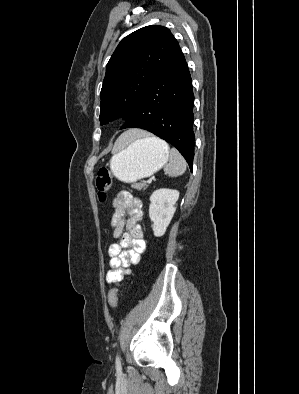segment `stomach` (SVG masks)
Masks as SVG:
<instances>
[{"mask_svg":"<svg viewBox=\"0 0 299 394\" xmlns=\"http://www.w3.org/2000/svg\"><path fill=\"white\" fill-rule=\"evenodd\" d=\"M169 159V149L146 138L137 139L116 153L110 162L115 177L134 183L158 171Z\"/></svg>","mask_w":299,"mask_h":394,"instance_id":"0dacf381","label":"stomach"}]
</instances>
